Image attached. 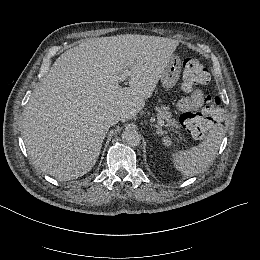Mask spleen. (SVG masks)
<instances>
[{
	"label": "spleen",
	"instance_id": "1",
	"mask_svg": "<svg viewBox=\"0 0 260 260\" xmlns=\"http://www.w3.org/2000/svg\"><path fill=\"white\" fill-rule=\"evenodd\" d=\"M225 134L221 123H213L207 135L197 145L188 148H173L169 150V161L184 177H193L204 172L214 160Z\"/></svg>",
	"mask_w": 260,
	"mask_h": 260
}]
</instances>
